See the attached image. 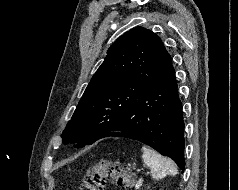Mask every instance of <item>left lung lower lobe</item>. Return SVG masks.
<instances>
[{
  "instance_id": "obj_1",
  "label": "left lung lower lobe",
  "mask_w": 238,
  "mask_h": 190,
  "mask_svg": "<svg viewBox=\"0 0 238 190\" xmlns=\"http://www.w3.org/2000/svg\"><path fill=\"white\" fill-rule=\"evenodd\" d=\"M122 136L138 140L173 159L184 171V121L172 62L101 138Z\"/></svg>"
}]
</instances>
